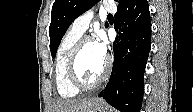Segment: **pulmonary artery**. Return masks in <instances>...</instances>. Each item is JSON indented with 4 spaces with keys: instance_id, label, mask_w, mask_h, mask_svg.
<instances>
[{
    "instance_id": "pulmonary-artery-1",
    "label": "pulmonary artery",
    "mask_w": 193,
    "mask_h": 112,
    "mask_svg": "<svg viewBox=\"0 0 193 112\" xmlns=\"http://www.w3.org/2000/svg\"><path fill=\"white\" fill-rule=\"evenodd\" d=\"M103 8L109 13H114L116 11V7L112 2H105ZM93 15V10L86 11L73 21L71 28L80 34H83L88 29Z\"/></svg>"
}]
</instances>
